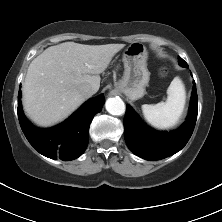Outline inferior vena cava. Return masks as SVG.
Listing matches in <instances>:
<instances>
[{
	"mask_svg": "<svg viewBox=\"0 0 222 222\" xmlns=\"http://www.w3.org/2000/svg\"><path fill=\"white\" fill-rule=\"evenodd\" d=\"M81 95L85 98H88L90 96H92L94 93H96V89L89 85V84H86V85H82L79 89Z\"/></svg>",
	"mask_w": 222,
	"mask_h": 222,
	"instance_id": "1",
	"label": "inferior vena cava"
}]
</instances>
